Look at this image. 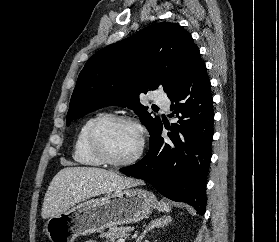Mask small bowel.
I'll use <instances>...</instances> for the list:
<instances>
[{"instance_id": "1", "label": "small bowel", "mask_w": 279, "mask_h": 242, "mask_svg": "<svg viewBox=\"0 0 279 242\" xmlns=\"http://www.w3.org/2000/svg\"><path fill=\"white\" fill-rule=\"evenodd\" d=\"M86 242H96V241H93V240H89V241H86Z\"/></svg>"}]
</instances>
